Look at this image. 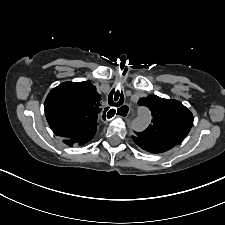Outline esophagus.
Segmentation results:
<instances>
[{
	"instance_id": "34e87169",
	"label": "esophagus",
	"mask_w": 225,
	"mask_h": 225,
	"mask_svg": "<svg viewBox=\"0 0 225 225\" xmlns=\"http://www.w3.org/2000/svg\"><path fill=\"white\" fill-rule=\"evenodd\" d=\"M119 109L115 110V115H117L119 117L127 118L130 115V113H131V109H130V107L128 105H124V108L122 110H119ZM110 110H112V108H110L108 110V112Z\"/></svg>"
}]
</instances>
